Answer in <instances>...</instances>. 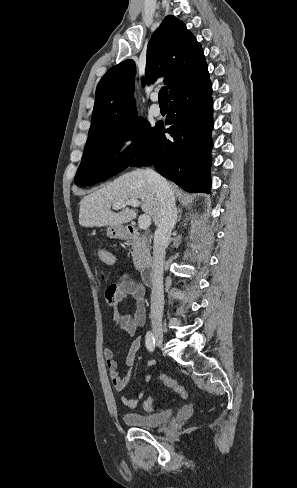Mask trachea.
<instances>
[{
	"label": "trachea",
	"mask_w": 297,
	"mask_h": 488,
	"mask_svg": "<svg viewBox=\"0 0 297 488\" xmlns=\"http://www.w3.org/2000/svg\"><path fill=\"white\" fill-rule=\"evenodd\" d=\"M159 104H168V88L162 87L159 91Z\"/></svg>",
	"instance_id": "3493384b"
}]
</instances>
